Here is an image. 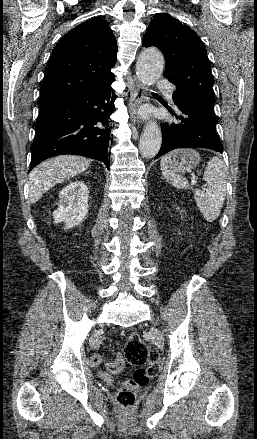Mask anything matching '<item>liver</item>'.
Segmentation results:
<instances>
[{
  "instance_id": "liver-1",
  "label": "liver",
  "mask_w": 257,
  "mask_h": 439,
  "mask_svg": "<svg viewBox=\"0 0 257 439\" xmlns=\"http://www.w3.org/2000/svg\"><path fill=\"white\" fill-rule=\"evenodd\" d=\"M89 166V159L75 155H61L44 161L30 173V202L36 203L56 184L84 172Z\"/></svg>"
}]
</instances>
